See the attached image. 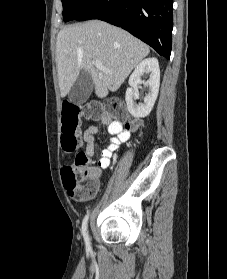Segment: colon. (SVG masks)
Listing matches in <instances>:
<instances>
[{
	"mask_svg": "<svg viewBox=\"0 0 227 279\" xmlns=\"http://www.w3.org/2000/svg\"><path fill=\"white\" fill-rule=\"evenodd\" d=\"M110 116L114 121L113 127L118 128L119 125L129 127L125 123L127 112L119 101H112L108 105ZM105 107L100 104L76 105L66 103L63 106V124L61 128V146L66 154H72L76 151L80 135L76 131V127L81 119L94 120L103 117ZM89 158L86 152L79 151L73 157L71 164L64 171V184L69 193L79 202L85 201L88 197L96 192V184L94 181H87L84 178L83 167L88 165Z\"/></svg>",
	"mask_w": 227,
	"mask_h": 279,
	"instance_id": "colon-1",
	"label": "colon"
}]
</instances>
